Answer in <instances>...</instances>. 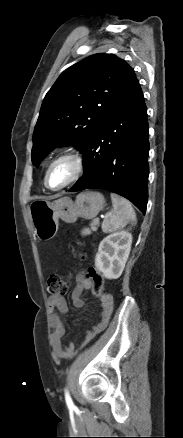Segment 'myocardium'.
<instances>
[{"instance_id":"f54148a6","label":"myocardium","mask_w":183,"mask_h":438,"mask_svg":"<svg viewBox=\"0 0 183 438\" xmlns=\"http://www.w3.org/2000/svg\"><path fill=\"white\" fill-rule=\"evenodd\" d=\"M62 160H69V161L72 162L73 167H74L73 175H72V177L66 183L62 184L61 186L55 187V188L51 187L48 184V174H49V171H50V169L52 168V166L54 164H56L57 162H60ZM84 170H85V162H84L83 157L80 154L75 153V152L63 153V154L55 157L47 165L46 170L44 172V178H43L44 185H45V187L47 189L52 190V191L61 190V189L65 188V187L75 183L76 181H78L80 179V177L83 175Z\"/></svg>"}]
</instances>
